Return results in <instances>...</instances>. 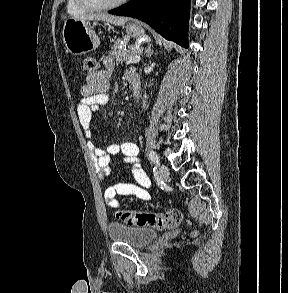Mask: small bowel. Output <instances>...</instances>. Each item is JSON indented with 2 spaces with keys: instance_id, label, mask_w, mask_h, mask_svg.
Listing matches in <instances>:
<instances>
[{
  "instance_id": "1",
  "label": "small bowel",
  "mask_w": 288,
  "mask_h": 293,
  "mask_svg": "<svg viewBox=\"0 0 288 293\" xmlns=\"http://www.w3.org/2000/svg\"><path fill=\"white\" fill-rule=\"evenodd\" d=\"M103 63L104 69L91 77H87L86 83L82 85L77 114L80 125L88 139L87 146L92 154L96 172L102 181H106L111 173L109 164L112 156L122 155L123 161L128 164L126 174L132 176L136 183L120 182L107 187L104 192L105 201L110 207L121 208L122 204L118 200V196H135L143 201L150 200L151 181L138 161L139 147L135 142L108 144L101 148L91 140L90 128L93 116L101 106L108 102L110 78L114 70V61L111 57H106ZM134 75L136 74L132 72L126 73L128 80Z\"/></svg>"
}]
</instances>
